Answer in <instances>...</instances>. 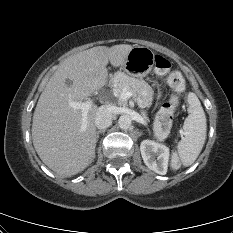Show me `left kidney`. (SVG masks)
I'll list each match as a JSON object with an SVG mask.
<instances>
[{
    "label": "left kidney",
    "instance_id": "left-kidney-1",
    "mask_svg": "<svg viewBox=\"0 0 233 233\" xmlns=\"http://www.w3.org/2000/svg\"><path fill=\"white\" fill-rule=\"evenodd\" d=\"M140 151L145 165L160 175L167 173L169 148L151 140L141 142Z\"/></svg>",
    "mask_w": 233,
    "mask_h": 233
}]
</instances>
